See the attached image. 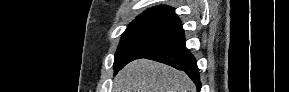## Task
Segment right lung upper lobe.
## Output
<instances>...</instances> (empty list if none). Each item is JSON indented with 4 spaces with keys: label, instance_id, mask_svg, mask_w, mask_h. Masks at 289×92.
<instances>
[{
    "label": "right lung upper lobe",
    "instance_id": "cb5924a9",
    "mask_svg": "<svg viewBox=\"0 0 289 92\" xmlns=\"http://www.w3.org/2000/svg\"><path fill=\"white\" fill-rule=\"evenodd\" d=\"M135 20H150L181 25V21L175 13L174 8L164 5L155 6L144 11Z\"/></svg>",
    "mask_w": 289,
    "mask_h": 92
}]
</instances>
